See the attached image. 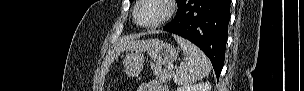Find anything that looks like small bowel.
Segmentation results:
<instances>
[{
	"label": "small bowel",
	"instance_id": "small-bowel-1",
	"mask_svg": "<svg viewBox=\"0 0 304 91\" xmlns=\"http://www.w3.org/2000/svg\"><path fill=\"white\" fill-rule=\"evenodd\" d=\"M141 91H167L166 86L157 80H152L140 88Z\"/></svg>",
	"mask_w": 304,
	"mask_h": 91
}]
</instances>
